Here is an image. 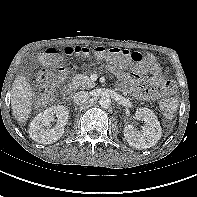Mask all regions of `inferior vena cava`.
<instances>
[{"mask_svg": "<svg viewBox=\"0 0 197 197\" xmlns=\"http://www.w3.org/2000/svg\"><path fill=\"white\" fill-rule=\"evenodd\" d=\"M90 98V94L86 91H78L73 96L74 103L81 105L84 104Z\"/></svg>", "mask_w": 197, "mask_h": 197, "instance_id": "1", "label": "inferior vena cava"}]
</instances>
